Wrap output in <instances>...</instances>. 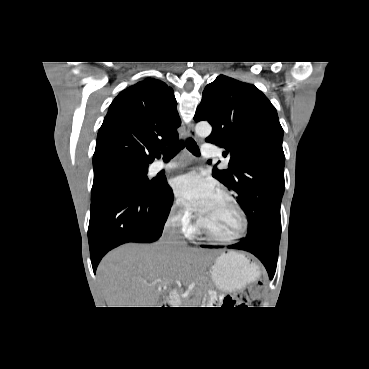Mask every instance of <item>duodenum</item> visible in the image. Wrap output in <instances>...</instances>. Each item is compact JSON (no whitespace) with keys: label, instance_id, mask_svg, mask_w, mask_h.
I'll list each match as a JSON object with an SVG mask.
<instances>
[{"label":"duodenum","instance_id":"obj_1","mask_svg":"<svg viewBox=\"0 0 369 369\" xmlns=\"http://www.w3.org/2000/svg\"><path fill=\"white\" fill-rule=\"evenodd\" d=\"M173 297H174L173 293L169 292V299L171 300V299H173Z\"/></svg>","mask_w":369,"mask_h":369}]
</instances>
